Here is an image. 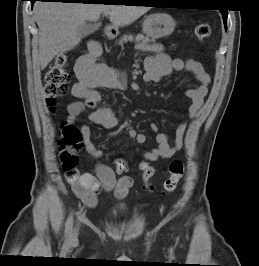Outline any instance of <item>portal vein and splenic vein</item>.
<instances>
[{
	"label": "portal vein and splenic vein",
	"instance_id": "18ae733b",
	"mask_svg": "<svg viewBox=\"0 0 259 266\" xmlns=\"http://www.w3.org/2000/svg\"><path fill=\"white\" fill-rule=\"evenodd\" d=\"M108 14H109V12H104V15H106V16H107Z\"/></svg>",
	"mask_w": 259,
	"mask_h": 266
}]
</instances>
